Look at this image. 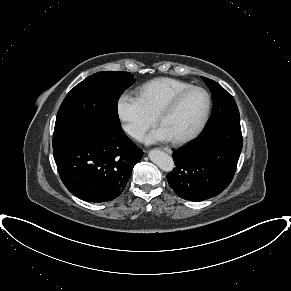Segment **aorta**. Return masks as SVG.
Segmentation results:
<instances>
[{"label": "aorta", "instance_id": "1", "mask_svg": "<svg viewBox=\"0 0 291 291\" xmlns=\"http://www.w3.org/2000/svg\"><path fill=\"white\" fill-rule=\"evenodd\" d=\"M150 160L155 163L160 169L170 172L175 167L172 157L159 149H152L149 152Z\"/></svg>", "mask_w": 291, "mask_h": 291}]
</instances>
